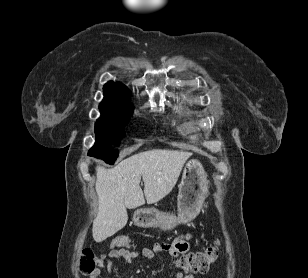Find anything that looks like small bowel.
Instances as JSON below:
<instances>
[{
	"mask_svg": "<svg viewBox=\"0 0 308 278\" xmlns=\"http://www.w3.org/2000/svg\"><path fill=\"white\" fill-rule=\"evenodd\" d=\"M192 239L190 233L183 234L175 238L172 242H157L151 248H142L139 250H128L123 247H117L115 250L110 249L100 256L101 266L113 275V260L123 259L127 263H133L140 258L153 259L158 254H168L173 257L186 254L190 249L189 241ZM101 270L92 278H98ZM175 278H194L191 274L177 272Z\"/></svg>",
	"mask_w": 308,
	"mask_h": 278,
	"instance_id": "obj_1",
	"label": "small bowel"
}]
</instances>
